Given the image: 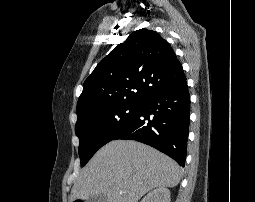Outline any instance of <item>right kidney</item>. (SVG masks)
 <instances>
[{
    "instance_id": "1",
    "label": "right kidney",
    "mask_w": 255,
    "mask_h": 202,
    "mask_svg": "<svg viewBox=\"0 0 255 202\" xmlns=\"http://www.w3.org/2000/svg\"><path fill=\"white\" fill-rule=\"evenodd\" d=\"M141 202H170V190L165 187L154 189Z\"/></svg>"
}]
</instances>
